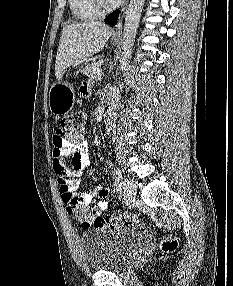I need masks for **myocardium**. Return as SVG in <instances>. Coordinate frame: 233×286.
<instances>
[{
    "label": "myocardium",
    "mask_w": 233,
    "mask_h": 286,
    "mask_svg": "<svg viewBox=\"0 0 233 286\" xmlns=\"http://www.w3.org/2000/svg\"><path fill=\"white\" fill-rule=\"evenodd\" d=\"M93 7L100 14H107L119 6V3L106 4L103 0H91Z\"/></svg>",
    "instance_id": "f54148a6"
}]
</instances>
